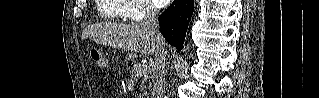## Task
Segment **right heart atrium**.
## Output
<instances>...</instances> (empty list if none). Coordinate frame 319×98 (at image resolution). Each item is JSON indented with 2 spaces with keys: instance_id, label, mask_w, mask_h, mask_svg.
I'll return each instance as SVG.
<instances>
[{
  "instance_id": "right-heart-atrium-1",
  "label": "right heart atrium",
  "mask_w": 319,
  "mask_h": 98,
  "mask_svg": "<svg viewBox=\"0 0 319 98\" xmlns=\"http://www.w3.org/2000/svg\"><path fill=\"white\" fill-rule=\"evenodd\" d=\"M129 2L131 7L125 18L139 20L144 17L154 16L156 14L155 7L151 5L150 1L148 0H131Z\"/></svg>"
}]
</instances>
